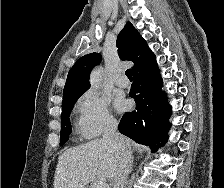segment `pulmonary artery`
Returning a JSON list of instances; mask_svg holds the SVG:
<instances>
[{
	"instance_id": "pulmonary-artery-1",
	"label": "pulmonary artery",
	"mask_w": 224,
	"mask_h": 188,
	"mask_svg": "<svg viewBox=\"0 0 224 188\" xmlns=\"http://www.w3.org/2000/svg\"><path fill=\"white\" fill-rule=\"evenodd\" d=\"M116 85L121 88H126L129 85V81L125 75H121L116 79Z\"/></svg>"
}]
</instances>
